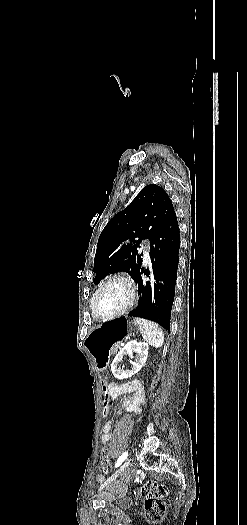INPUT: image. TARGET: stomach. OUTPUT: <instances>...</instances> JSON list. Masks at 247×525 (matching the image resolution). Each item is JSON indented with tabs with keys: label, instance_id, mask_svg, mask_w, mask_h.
Returning a JSON list of instances; mask_svg holds the SVG:
<instances>
[{
	"label": "stomach",
	"instance_id": "obj_1",
	"mask_svg": "<svg viewBox=\"0 0 247 525\" xmlns=\"http://www.w3.org/2000/svg\"><path fill=\"white\" fill-rule=\"evenodd\" d=\"M138 331L135 321L119 317L93 328L84 346L93 357L96 368L104 371L110 358V350L123 339L134 336Z\"/></svg>",
	"mask_w": 247,
	"mask_h": 525
}]
</instances>
